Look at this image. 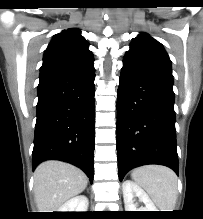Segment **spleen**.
<instances>
[{
    "label": "spleen",
    "instance_id": "spleen-1",
    "mask_svg": "<svg viewBox=\"0 0 203 219\" xmlns=\"http://www.w3.org/2000/svg\"><path fill=\"white\" fill-rule=\"evenodd\" d=\"M132 179L149 194L160 211H173L177 200V176L165 166L148 165L136 168Z\"/></svg>",
    "mask_w": 203,
    "mask_h": 219
}]
</instances>
